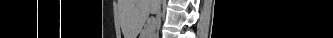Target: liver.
Instances as JSON below:
<instances>
[{"label":"liver","instance_id":"obj_1","mask_svg":"<svg viewBox=\"0 0 333 38\" xmlns=\"http://www.w3.org/2000/svg\"><path fill=\"white\" fill-rule=\"evenodd\" d=\"M120 7L122 12L133 10L135 26L139 31L145 23L146 18L150 12H158L159 4L158 0H121Z\"/></svg>","mask_w":333,"mask_h":38}]
</instances>
